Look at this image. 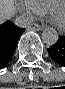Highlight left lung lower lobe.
Here are the masks:
<instances>
[{
    "label": "left lung lower lobe",
    "instance_id": "0a47b994",
    "mask_svg": "<svg viewBox=\"0 0 65 89\" xmlns=\"http://www.w3.org/2000/svg\"><path fill=\"white\" fill-rule=\"evenodd\" d=\"M48 53L57 64L65 67V35L59 37L57 43L48 49Z\"/></svg>",
    "mask_w": 65,
    "mask_h": 89
}]
</instances>
